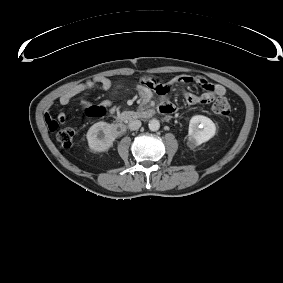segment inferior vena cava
I'll use <instances>...</instances> for the list:
<instances>
[{
	"instance_id": "602c4592",
	"label": "inferior vena cava",
	"mask_w": 283,
	"mask_h": 283,
	"mask_svg": "<svg viewBox=\"0 0 283 283\" xmlns=\"http://www.w3.org/2000/svg\"><path fill=\"white\" fill-rule=\"evenodd\" d=\"M128 127L130 130H138L141 127V121L140 120H132L129 122Z\"/></svg>"
}]
</instances>
